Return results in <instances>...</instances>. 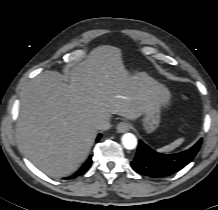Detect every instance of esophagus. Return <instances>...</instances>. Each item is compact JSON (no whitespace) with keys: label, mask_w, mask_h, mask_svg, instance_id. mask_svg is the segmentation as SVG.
<instances>
[{"label":"esophagus","mask_w":218,"mask_h":210,"mask_svg":"<svg viewBox=\"0 0 218 210\" xmlns=\"http://www.w3.org/2000/svg\"><path fill=\"white\" fill-rule=\"evenodd\" d=\"M116 129H117V132L119 133L127 132L130 130V124L125 121L119 122Z\"/></svg>","instance_id":"obj_1"}]
</instances>
